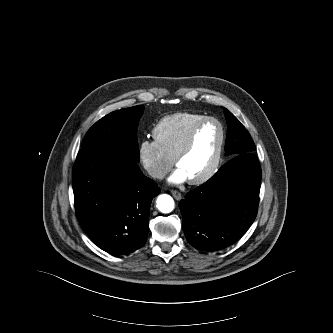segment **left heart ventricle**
<instances>
[{
  "label": "left heart ventricle",
  "instance_id": "1",
  "mask_svg": "<svg viewBox=\"0 0 333 333\" xmlns=\"http://www.w3.org/2000/svg\"><path fill=\"white\" fill-rule=\"evenodd\" d=\"M220 142V129L217 124L205 125L195 138L191 150L182 157L177 167L188 180L202 175L213 163Z\"/></svg>",
  "mask_w": 333,
  "mask_h": 333
}]
</instances>
